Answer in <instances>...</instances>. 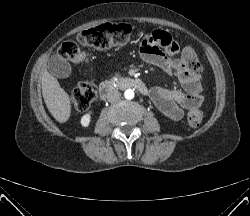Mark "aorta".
Returning <instances> with one entry per match:
<instances>
[{"mask_svg": "<svg viewBox=\"0 0 250 216\" xmlns=\"http://www.w3.org/2000/svg\"><path fill=\"white\" fill-rule=\"evenodd\" d=\"M124 96H125L126 99H132L134 97V91L131 90V89H127L124 92Z\"/></svg>", "mask_w": 250, "mask_h": 216, "instance_id": "aorta-1", "label": "aorta"}]
</instances>
